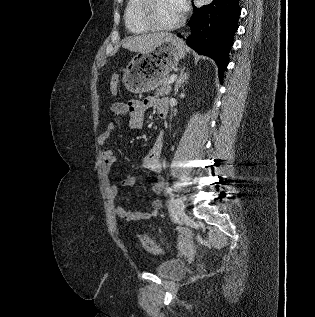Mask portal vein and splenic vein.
<instances>
[{
    "mask_svg": "<svg viewBox=\"0 0 315 317\" xmlns=\"http://www.w3.org/2000/svg\"><path fill=\"white\" fill-rule=\"evenodd\" d=\"M176 79H177V75H176V74H173V75L170 77L169 83L172 84Z\"/></svg>",
    "mask_w": 315,
    "mask_h": 317,
    "instance_id": "portal-vein-and-splenic-vein-1",
    "label": "portal vein and splenic vein"
}]
</instances>
